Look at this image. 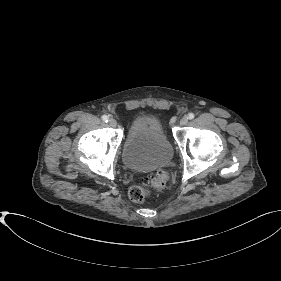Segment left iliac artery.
<instances>
[{
    "label": "left iliac artery",
    "mask_w": 281,
    "mask_h": 281,
    "mask_svg": "<svg viewBox=\"0 0 281 281\" xmlns=\"http://www.w3.org/2000/svg\"><path fill=\"white\" fill-rule=\"evenodd\" d=\"M194 117H195V115L193 113H189L187 116V118L190 120L193 119Z\"/></svg>",
    "instance_id": "44dca946"
}]
</instances>
